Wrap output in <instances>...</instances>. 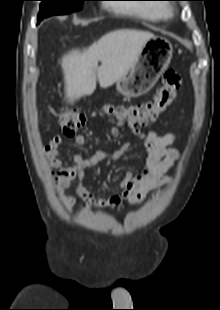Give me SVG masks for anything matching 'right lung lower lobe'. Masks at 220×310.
I'll return each instance as SVG.
<instances>
[{"label": "right lung lower lobe", "mask_w": 220, "mask_h": 310, "mask_svg": "<svg viewBox=\"0 0 220 310\" xmlns=\"http://www.w3.org/2000/svg\"><path fill=\"white\" fill-rule=\"evenodd\" d=\"M41 21V19L38 18V23Z\"/></svg>", "instance_id": "1"}]
</instances>
